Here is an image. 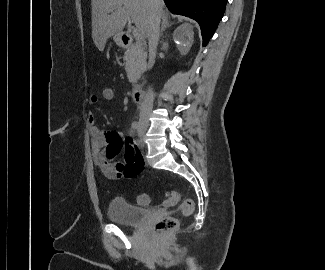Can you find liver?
Returning a JSON list of instances; mask_svg holds the SVG:
<instances>
[{"mask_svg":"<svg viewBox=\"0 0 325 270\" xmlns=\"http://www.w3.org/2000/svg\"><path fill=\"white\" fill-rule=\"evenodd\" d=\"M163 13L164 3L159 0ZM92 38L103 51L109 37L120 34L127 22V13L143 37H148L152 15L151 0H92ZM113 9L112 11H109Z\"/></svg>","mask_w":325,"mask_h":270,"instance_id":"1","label":"liver"}]
</instances>
